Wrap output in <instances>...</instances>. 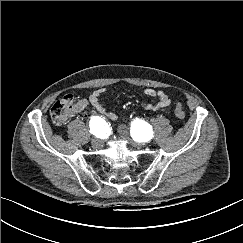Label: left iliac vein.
I'll return each mask as SVG.
<instances>
[{
    "label": "left iliac vein",
    "mask_w": 243,
    "mask_h": 243,
    "mask_svg": "<svg viewBox=\"0 0 243 243\" xmlns=\"http://www.w3.org/2000/svg\"><path fill=\"white\" fill-rule=\"evenodd\" d=\"M118 132H119V134L121 135V137H122L123 139L129 141V142L132 143L134 146H136V147H141V146H142V143H139V142H133V141H132V139H131V137H130V135H129V131H128V129H127L125 126H123V125L119 126V128H118Z\"/></svg>",
    "instance_id": "obj_1"
}]
</instances>
